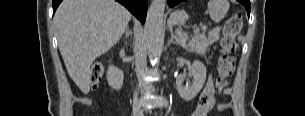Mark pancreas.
Wrapping results in <instances>:
<instances>
[{
	"instance_id": "pancreas-1",
	"label": "pancreas",
	"mask_w": 305,
	"mask_h": 116,
	"mask_svg": "<svg viewBox=\"0 0 305 116\" xmlns=\"http://www.w3.org/2000/svg\"><path fill=\"white\" fill-rule=\"evenodd\" d=\"M179 39H181V37H179ZM209 44V39L205 34L201 33L195 35L188 44H183V47L189 52L204 55Z\"/></svg>"
}]
</instances>
